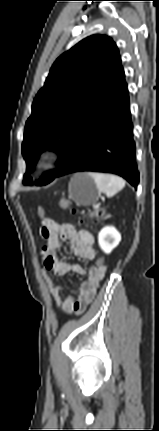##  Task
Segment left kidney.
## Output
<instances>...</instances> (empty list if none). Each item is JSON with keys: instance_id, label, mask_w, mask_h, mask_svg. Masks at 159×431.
Returning <instances> with one entry per match:
<instances>
[{"instance_id": "5707ae66", "label": "left kidney", "mask_w": 159, "mask_h": 431, "mask_svg": "<svg viewBox=\"0 0 159 431\" xmlns=\"http://www.w3.org/2000/svg\"><path fill=\"white\" fill-rule=\"evenodd\" d=\"M120 241L121 235L113 226H106L99 232L98 243L106 254H109Z\"/></svg>"}]
</instances>
